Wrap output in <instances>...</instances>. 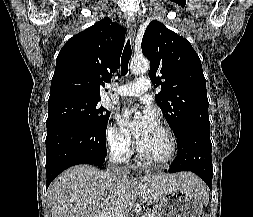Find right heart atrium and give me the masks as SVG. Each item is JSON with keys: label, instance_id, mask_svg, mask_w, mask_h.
I'll list each match as a JSON object with an SVG mask.
<instances>
[{"label": "right heart atrium", "instance_id": "right-heart-atrium-1", "mask_svg": "<svg viewBox=\"0 0 253 217\" xmlns=\"http://www.w3.org/2000/svg\"><path fill=\"white\" fill-rule=\"evenodd\" d=\"M107 141L112 152L120 159L129 157L132 140L129 133L120 126L112 124L107 131Z\"/></svg>", "mask_w": 253, "mask_h": 217}]
</instances>
